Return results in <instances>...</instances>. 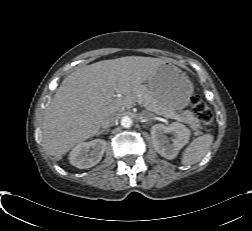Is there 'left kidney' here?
I'll return each instance as SVG.
<instances>
[{
    "label": "left kidney",
    "instance_id": "5707ae66",
    "mask_svg": "<svg viewBox=\"0 0 252 231\" xmlns=\"http://www.w3.org/2000/svg\"><path fill=\"white\" fill-rule=\"evenodd\" d=\"M167 133H172V143L169 142ZM190 134V130L186 126L177 122L169 126L155 124L151 128L154 148L166 159H174L178 155L180 149L188 143Z\"/></svg>",
    "mask_w": 252,
    "mask_h": 231
}]
</instances>
